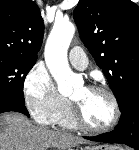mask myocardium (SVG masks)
<instances>
[{
	"label": "myocardium",
	"instance_id": "f54148a6",
	"mask_svg": "<svg viewBox=\"0 0 139 150\" xmlns=\"http://www.w3.org/2000/svg\"><path fill=\"white\" fill-rule=\"evenodd\" d=\"M87 88L90 90L102 92L109 97L113 110L112 119L107 125L103 127L91 126L85 121L78 103L71 99L72 114L76 125L81 129L92 133H106L111 131L116 127L121 117V108L117 96L112 90L103 85L95 84L87 86Z\"/></svg>",
	"mask_w": 139,
	"mask_h": 150
}]
</instances>
